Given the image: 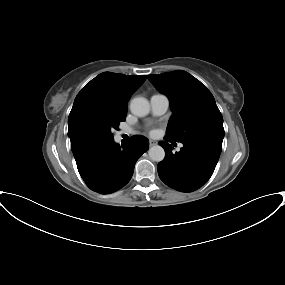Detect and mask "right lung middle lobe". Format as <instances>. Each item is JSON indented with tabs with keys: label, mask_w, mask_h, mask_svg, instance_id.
<instances>
[{
	"label": "right lung middle lobe",
	"mask_w": 285,
	"mask_h": 285,
	"mask_svg": "<svg viewBox=\"0 0 285 285\" xmlns=\"http://www.w3.org/2000/svg\"><path fill=\"white\" fill-rule=\"evenodd\" d=\"M124 117L115 115L88 114L78 122L79 142H106L113 140V130H117Z\"/></svg>",
	"instance_id": "obj_1"
}]
</instances>
